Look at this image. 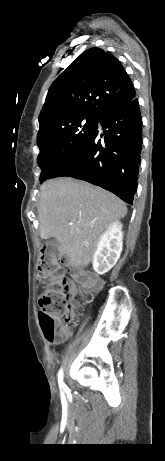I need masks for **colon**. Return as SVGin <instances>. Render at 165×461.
<instances>
[{
    "label": "colon",
    "mask_w": 165,
    "mask_h": 461,
    "mask_svg": "<svg viewBox=\"0 0 165 461\" xmlns=\"http://www.w3.org/2000/svg\"><path fill=\"white\" fill-rule=\"evenodd\" d=\"M39 270L46 282L45 291L39 299L38 317L45 338L55 343L63 337V333L58 328L57 318L61 317L62 313L70 311L63 298L64 292L69 291V280L52 247L46 246L42 251ZM83 286L88 290H94L99 287V284L88 280L83 282Z\"/></svg>",
    "instance_id": "5ec220e1"
}]
</instances>
